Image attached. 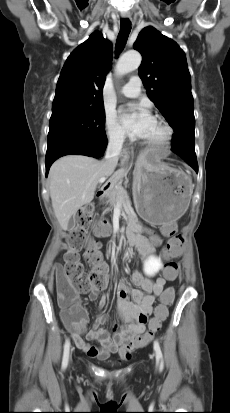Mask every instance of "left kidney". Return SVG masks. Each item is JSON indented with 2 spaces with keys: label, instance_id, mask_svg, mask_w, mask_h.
<instances>
[{
  "label": "left kidney",
  "instance_id": "obj_1",
  "mask_svg": "<svg viewBox=\"0 0 230 413\" xmlns=\"http://www.w3.org/2000/svg\"><path fill=\"white\" fill-rule=\"evenodd\" d=\"M162 268V262L155 256H150L143 266V271L147 276H154Z\"/></svg>",
  "mask_w": 230,
  "mask_h": 413
}]
</instances>
